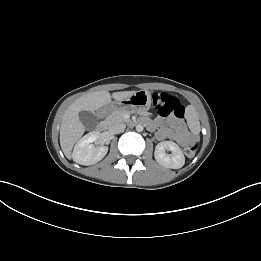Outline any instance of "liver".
<instances>
[{
  "label": "liver",
  "mask_w": 261,
  "mask_h": 261,
  "mask_svg": "<svg viewBox=\"0 0 261 261\" xmlns=\"http://www.w3.org/2000/svg\"><path fill=\"white\" fill-rule=\"evenodd\" d=\"M136 91L114 92L112 96L108 91L88 93L76 99L65 111L60 126V145L65 156L70 159L74 144L84 134L85 127L79 119V112H94L115 101L128 98Z\"/></svg>",
  "instance_id": "liver-1"
}]
</instances>
